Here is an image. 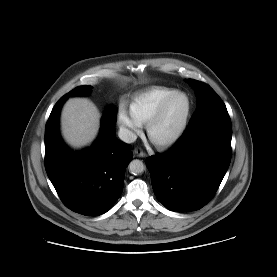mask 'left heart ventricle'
Masks as SVG:
<instances>
[{
  "instance_id": "b2bd125f",
  "label": "left heart ventricle",
  "mask_w": 277,
  "mask_h": 277,
  "mask_svg": "<svg viewBox=\"0 0 277 277\" xmlns=\"http://www.w3.org/2000/svg\"><path fill=\"white\" fill-rule=\"evenodd\" d=\"M187 110V99L183 95L176 96L166 107L163 115L153 128L155 140H164L173 135L183 121Z\"/></svg>"
}]
</instances>
